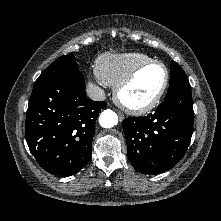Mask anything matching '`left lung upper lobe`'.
I'll list each match as a JSON object with an SVG mask.
<instances>
[{"label": "left lung upper lobe", "mask_w": 221, "mask_h": 221, "mask_svg": "<svg viewBox=\"0 0 221 221\" xmlns=\"http://www.w3.org/2000/svg\"><path fill=\"white\" fill-rule=\"evenodd\" d=\"M182 87H190L187 76L183 69L175 61H172L170 86L166 95H169Z\"/></svg>", "instance_id": "1"}]
</instances>
